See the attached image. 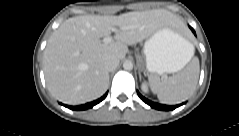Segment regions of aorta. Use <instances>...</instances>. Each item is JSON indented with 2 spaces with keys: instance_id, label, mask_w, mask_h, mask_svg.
<instances>
[{
  "instance_id": "1",
  "label": "aorta",
  "mask_w": 239,
  "mask_h": 136,
  "mask_svg": "<svg viewBox=\"0 0 239 136\" xmlns=\"http://www.w3.org/2000/svg\"><path fill=\"white\" fill-rule=\"evenodd\" d=\"M123 68H124L125 70H128V71L132 70V69H133V62L130 61V60H125V61L123 62Z\"/></svg>"
}]
</instances>
